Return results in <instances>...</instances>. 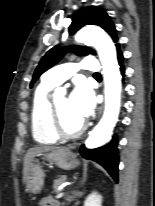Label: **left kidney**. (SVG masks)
Masks as SVG:
<instances>
[{
  "mask_svg": "<svg viewBox=\"0 0 155 206\" xmlns=\"http://www.w3.org/2000/svg\"><path fill=\"white\" fill-rule=\"evenodd\" d=\"M101 204L102 196L97 192L89 194L84 201V206H102Z\"/></svg>",
  "mask_w": 155,
  "mask_h": 206,
  "instance_id": "left-kidney-1",
  "label": "left kidney"
}]
</instances>
